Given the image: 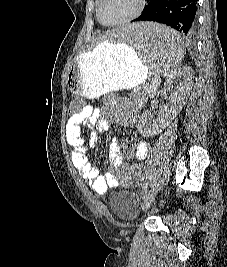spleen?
Masks as SVG:
<instances>
[{
    "instance_id": "3e777b00",
    "label": "spleen",
    "mask_w": 227,
    "mask_h": 267,
    "mask_svg": "<svg viewBox=\"0 0 227 267\" xmlns=\"http://www.w3.org/2000/svg\"><path fill=\"white\" fill-rule=\"evenodd\" d=\"M115 36H106V41L125 43V47H135L139 59L151 63L150 81L157 77H174L185 46L179 35L162 22H150V19H139V22H121L115 25Z\"/></svg>"
}]
</instances>
